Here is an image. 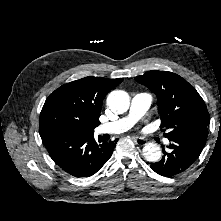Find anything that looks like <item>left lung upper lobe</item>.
<instances>
[{"instance_id":"obj_1","label":"left lung upper lobe","mask_w":221,"mask_h":221,"mask_svg":"<svg viewBox=\"0 0 221 221\" xmlns=\"http://www.w3.org/2000/svg\"><path fill=\"white\" fill-rule=\"evenodd\" d=\"M135 80L156 94L160 127L165 137L172 139L196 132L208 133L210 120L204 100L181 76L152 70Z\"/></svg>"}]
</instances>
